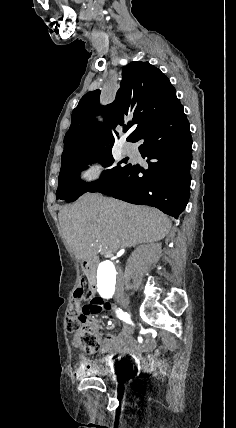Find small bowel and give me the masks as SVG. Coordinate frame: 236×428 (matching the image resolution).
<instances>
[{
  "instance_id": "1",
  "label": "small bowel",
  "mask_w": 236,
  "mask_h": 428,
  "mask_svg": "<svg viewBox=\"0 0 236 428\" xmlns=\"http://www.w3.org/2000/svg\"><path fill=\"white\" fill-rule=\"evenodd\" d=\"M132 332V328L125 326L118 336L107 334L102 341V354L98 357L97 361L88 359L85 353H79L76 374L80 375L93 370L99 363L110 367L114 366L117 360L125 356L132 357L137 364L143 367L155 365V359L146 361L142 357V352L154 349L155 339L148 336L144 341L140 340L136 343L132 340Z\"/></svg>"
}]
</instances>
